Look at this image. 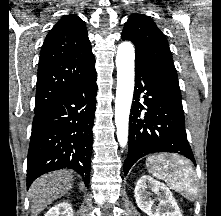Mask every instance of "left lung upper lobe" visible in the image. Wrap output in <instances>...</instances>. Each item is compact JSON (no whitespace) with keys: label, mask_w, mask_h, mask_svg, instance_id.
Wrapping results in <instances>:
<instances>
[{"label":"left lung upper lobe","mask_w":221,"mask_h":216,"mask_svg":"<svg viewBox=\"0 0 221 216\" xmlns=\"http://www.w3.org/2000/svg\"><path fill=\"white\" fill-rule=\"evenodd\" d=\"M123 40L135 45V61L160 72L174 89L181 102V92L172 55L164 34L153 20L143 14H133L124 25Z\"/></svg>","instance_id":"1"}]
</instances>
